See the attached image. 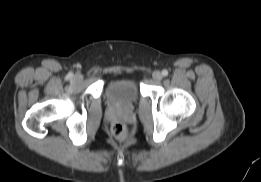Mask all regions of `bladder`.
Returning a JSON list of instances; mask_svg holds the SVG:
<instances>
[{
    "label": "bladder",
    "instance_id": "bladder-1",
    "mask_svg": "<svg viewBox=\"0 0 261 182\" xmlns=\"http://www.w3.org/2000/svg\"><path fill=\"white\" fill-rule=\"evenodd\" d=\"M108 104L115 108H132L139 100L140 92L135 81L119 79L109 82L105 87Z\"/></svg>",
    "mask_w": 261,
    "mask_h": 182
}]
</instances>
